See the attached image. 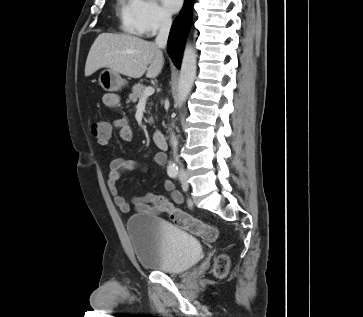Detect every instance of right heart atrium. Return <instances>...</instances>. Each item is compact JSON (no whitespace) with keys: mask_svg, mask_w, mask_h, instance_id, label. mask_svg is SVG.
Masks as SVG:
<instances>
[{"mask_svg":"<svg viewBox=\"0 0 363 317\" xmlns=\"http://www.w3.org/2000/svg\"><path fill=\"white\" fill-rule=\"evenodd\" d=\"M133 10L140 35L152 36L171 23L170 16L155 0H133Z\"/></svg>","mask_w":363,"mask_h":317,"instance_id":"1","label":"right heart atrium"}]
</instances>
